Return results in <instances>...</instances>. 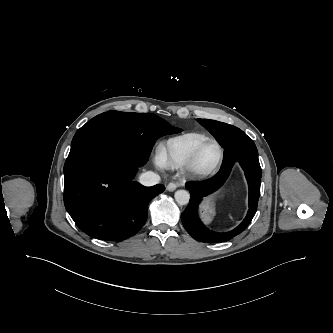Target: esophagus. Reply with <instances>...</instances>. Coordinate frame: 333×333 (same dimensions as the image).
Listing matches in <instances>:
<instances>
[{
  "label": "esophagus",
  "instance_id": "esophagus-1",
  "mask_svg": "<svg viewBox=\"0 0 333 333\" xmlns=\"http://www.w3.org/2000/svg\"><path fill=\"white\" fill-rule=\"evenodd\" d=\"M177 187H178V184L176 182H170V183H168L166 189L168 191L172 192V191L176 190Z\"/></svg>",
  "mask_w": 333,
  "mask_h": 333
}]
</instances>
